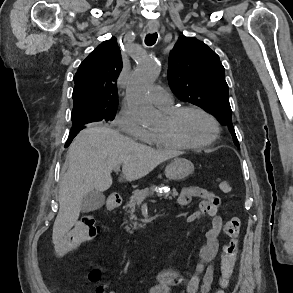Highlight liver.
<instances>
[{
	"mask_svg": "<svg viewBox=\"0 0 293 293\" xmlns=\"http://www.w3.org/2000/svg\"><path fill=\"white\" fill-rule=\"evenodd\" d=\"M179 154L139 144L102 125L95 124L82 130L67 153L68 169L60 181L59 212L53 226V242L58 243L75 225L82 198L87 193L103 192L111 187V172L115 167L122 165V176L127 181H134Z\"/></svg>",
	"mask_w": 293,
	"mask_h": 293,
	"instance_id": "obj_1",
	"label": "liver"
}]
</instances>
